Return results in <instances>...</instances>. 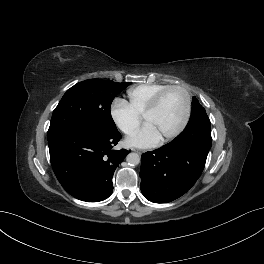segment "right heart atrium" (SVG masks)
<instances>
[{
  "label": "right heart atrium",
  "mask_w": 264,
  "mask_h": 264,
  "mask_svg": "<svg viewBox=\"0 0 264 264\" xmlns=\"http://www.w3.org/2000/svg\"><path fill=\"white\" fill-rule=\"evenodd\" d=\"M110 116L115 126L124 134H132L141 122V116L136 113L127 101L117 99L110 107Z\"/></svg>",
  "instance_id": "1"
}]
</instances>
